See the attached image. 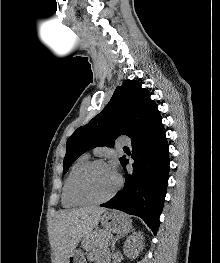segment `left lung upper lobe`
Instances as JSON below:
<instances>
[{
	"mask_svg": "<svg viewBox=\"0 0 220 263\" xmlns=\"http://www.w3.org/2000/svg\"><path fill=\"white\" fill-rule=\"evenodd\" d=\"M160 116L150 92L141 83L125 80L116 88L103 111L88 124L79 127L68 139L64 172L84 152L97 146L113 145L115 138L127 135L131 140L143 134ZM125 157L120 158V162Z\"/></svg>",
	"mask_w": 220,
	"mask_h": 263,
	"instance_id": "obj_1",
	"label": "left lung upper lobe"
}]
</instances>
